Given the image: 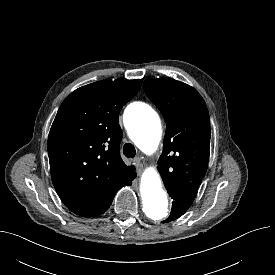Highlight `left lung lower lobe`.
Wrapping results in <instances>:
<instances>
[{
  "mask_svg": "<svg viewBox=\"0 0 275 275\" xmlns=\"http://www.w3.org/2000/svg\"><path fill=\"white\" fill-rule=\"evenodd\" d=\"M173 199L170 217L163 223L170 222L182 216L193 203L197 192L187 189L166 188Z\"/></svg>",
  "mask_w": 275,
  "mask_h": 275,
  "instance_id": "1",
  "label": "left lung lower lobe"
}]
</instances>
